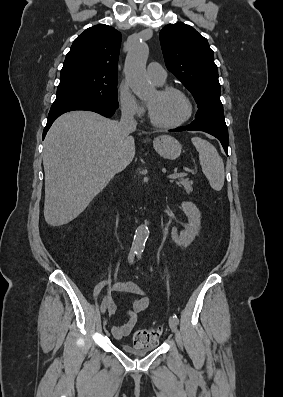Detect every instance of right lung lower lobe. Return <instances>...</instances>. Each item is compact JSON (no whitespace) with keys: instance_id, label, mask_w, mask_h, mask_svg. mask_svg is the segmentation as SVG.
<instances>
[{"instance_id":"right-lung-lower-lobe-1","label":"right lung lower lobe","mask_w":283,"mask_h":397,"mask_svg":"<svg viewBox=\"0 0 283 397\" xmlns=\"http://www.w3.org/2000/svg\"><path fill=\"white\" fill-rule=\"evenodd\" d=\"M73 110H88L97 112L105 117H111L116 109L108 108L99 104L86 102V101H62V102H54L51 106L48 121L46 127L43 131V139L51 127L52 123L63 113Z\"/></svg>"}]
</instances>
